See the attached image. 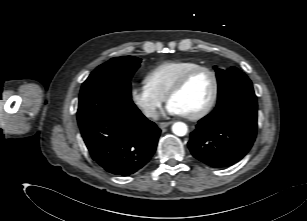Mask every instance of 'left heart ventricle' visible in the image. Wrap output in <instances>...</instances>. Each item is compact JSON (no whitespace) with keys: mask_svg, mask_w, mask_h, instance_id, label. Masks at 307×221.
Returning a JSON list of instances; mask_svg holds the SVG:
<instances>
[{"mask_svg":"<svg viewBox=\"0 0 307 221\" xmlns=\"http://www.w3.org/2000/svg\"><path fill=\"white\" fill-rule=\"evenodd\" d=\"M212 91L213 79L211 74L207 71H199L169 102L174 104L183 115L194 114L208 103Z\"/></svg>","mask_w":307,"mask_h":221,"instance_id":"left-heart-ventricle-1","label":"left heart ventricle"}]
</instances>
